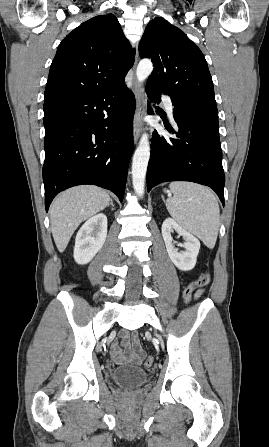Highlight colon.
Masks as SVG:
<instances>
[{
    "mask_svg": "<svg viewBox=\"0 0 269 447\" xmlns=\"http://www.w3.org/2000/svg\"><path fill=\"white\" fill-rule=\"evenodd\" d=\"M210 281H211V275L209 272H204L203 274H201L196 280L192 281L189 285L185 286L184 296L182 297V300L185 303H188L190 298L194 295L195 291L198 290L199 288L208 285ZM140 362L143 364L144 367H150L153 360L150 356L142 355Z\"/></svg>",
    "mask_w": 269,
    "mask_h": 447,
    "instance_id": "obj_1",
    "label": "colon"
}]
</instances>
